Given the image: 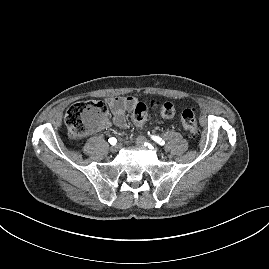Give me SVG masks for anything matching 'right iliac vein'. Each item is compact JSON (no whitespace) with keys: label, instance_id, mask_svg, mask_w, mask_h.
I'll use <instances>...</instances> for the list:
<instances>
[{"label":"right iliac vein","instance_id":"63e3f726","mask_svg":"<svg viewBox=\"0 0 269 269\" xmlns=\"http://www.w3.org/2000/svg\"><path fill=\"white\" fill-rule=\"evenodd\" d=\"M121 147H122V144H121V143H118L117 145H112V146L110 147V151L113 152V153H115V152H117L118 149L121 148Z\"/></svg>","mask_w":269,"mask_h":269}]
</instances>
